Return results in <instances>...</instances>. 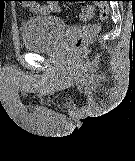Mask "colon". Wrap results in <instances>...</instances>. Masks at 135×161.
Wrapping results in <instances>:
<instances>
[{
    "mask_svg": "<svg viewBox=\"0 0 135 161\" xmlns=\"http://www.w3.org/2000/svg\"><path fill=\"white\" fill-rule=\"evenodd\" d=\"M57 1V0H50ZM99 7L98 22L90 23L86 25L73 39L71 47L73 50L78 51L86 44V42L97 34L100 29V22L107 19L109 15V7L103 1H98L96 4ZM94 5L87 4L82 7L81 16L83 18H90L94 14Z\"/></svg>",
    "mask_w": 135,
    "mask_h": 161,
    "instance_id": "colon-1",
    "label": "colon"
}]
</instances>
